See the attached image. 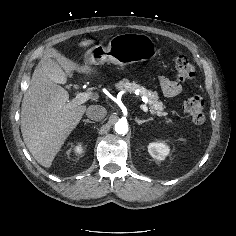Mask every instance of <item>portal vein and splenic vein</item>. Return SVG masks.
I'll list each match as a JSON object with an SVG mask.
<instances>
[{"label":"portal vein and splenic vein","instance_id":"1","mask_svg":"<svg viewBox=\"0 0 236 236\" xmlns=\"http://www.w3.org/2000/svg\"><path fill=\"white\" fill-rule=\"evenodd\" d=\"M94 97L93 92H80L78 94H76V97L71 101L72 105H80L83 104L85 102H87L88 100L92 99ZM141 109L144 112H148V107L145 104L141 105Z\"/></svg>","mask_w":236,"mask_h":236}]
</instances>
